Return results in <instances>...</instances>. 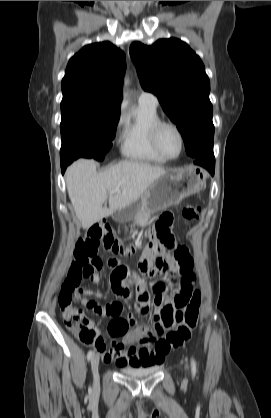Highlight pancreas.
Returning a JSON list of instances; mask_svg holds the SVG:
<instances>
[{
    "instance_id": "obj_1",
    "label": "pancreas",
    "mask_w": 271,
    "mask_h": 418,
    "mask_svg": "<svg viewBox=\"0 0 271 418\" xmlns=\"http://www.w3.org/2000/svg\"><path fill=\"white\" fill-rule=\"evenodd\" d=\"M149 218L150 212L146 210H141L134 217V225H139L143 227L147 224Z\"/></svg>"
}]
</instances>
